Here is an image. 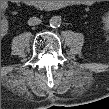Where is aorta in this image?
<instances>
[{
	"label": "aorta",
	"mask_w": 109,
	"mask_h": 109,
	"mask_svg": "<svg viewBox=\"0 0 109 109\" xmlns=\"http://www.w3.org/2000/svg\"><path fill=\"white\" fill-rule=\"evenodd\" d=\"M50 26L52 28H57L61 25V17L60 16H53L50 19Z\"/></svg>",
	"instance_id": "obj_1"
}]
</instances>
